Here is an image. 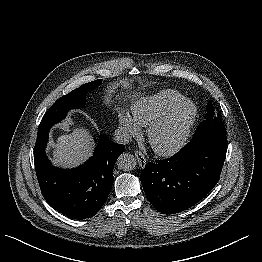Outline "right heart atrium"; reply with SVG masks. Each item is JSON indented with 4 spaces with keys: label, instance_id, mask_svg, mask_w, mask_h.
<instances>
[{
    "label": "right heart atrium",
    "instance_id": "right-heart-atrium-1",
    "mask_svg": "<svg viewBox=\"0 0 262 262\" xmlns=\"http://www.w3.org/2000/svg\"><path fill=\"white\" fill-rule=\"evenodd\" d=\"M119 130L126 138H137L141 134V128L134 118L125 111L118 113Z\"/></svg>",
    "mask_w": 262,
    "mask_h": 262
}]
</instances>
